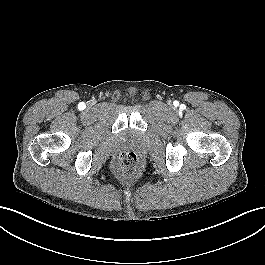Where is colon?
Wrapping results in <instances>:
<instances>
[{"mask_svg": "<svg viewBox=\"0 0 265 265\" xmlns=\"http://www.w3.org/2000/svg\"><path fill=\"white\" fill-rule=\"evenodd\" d=\"M138 167V158L134 152H122L114 165V170L117 175L126 177L136 172Z\"/></svg>", "mask_w": 265, "mask_h": 265, "instance_id": "colon-1", "label": "colon"}]
</instances>
